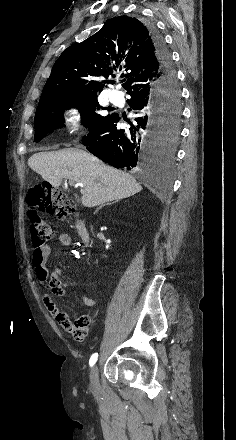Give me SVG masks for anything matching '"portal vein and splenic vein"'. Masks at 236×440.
<instances>
[{"label": "portal vein and splenic vein", "instance_id": "obj_1", "mask_svg": "<svg viewBox=\"0 0 236 440\" xmlns=\"http://www.w3.org/2000/svg\"><path fill=\"white\" fill-rule=\"evenodd\" d=\"M70 184H71V185H74V182H70ZM78 186H80V184H79V183L75 184V187H78ZM81 193H83V191H82V190H81Z\"/></svg>", "mask_w": 236, "mask_h": 440}]
</instances>
